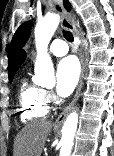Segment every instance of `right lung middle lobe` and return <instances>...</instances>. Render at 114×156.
<instances>
[{
	"mask_svg": "<svg viewBox=\"0 0 114 156\" xmlns=\"http://www.w3.org/2000/svg\"><path fill=\"white\" fill-rule=\"evenodd\" d=\"M12 80H13V77H9V81L12 82Z\"/></svg>",
	"mask_w": 114,
	"mask_h": 156,
	"instance_id": "right-lung-middle-lobe-1",
	"label": "right lung middle lobe"
}]
</instances>
